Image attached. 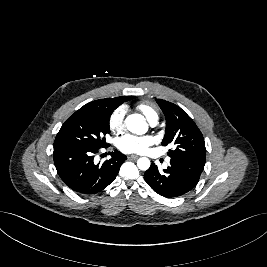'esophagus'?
Wrapping results in <instances>:
<instances>
[{"label": "esophagus", "mask_w": 267, "mask_h": 267, "mask_svg": "<svg viewBox=\"0 0 267 267\" xmlns=\"http://www.w3.org/2000/svg\"><path fill=\"white\" fill-rule=\"evenodd\" d=\"M127 158H128L129 160H136V159L139 158V156H138V155H129Z\"/></svg>", "instance_id": "34e87169"}]
</instances>
